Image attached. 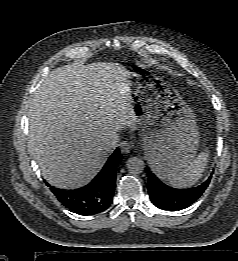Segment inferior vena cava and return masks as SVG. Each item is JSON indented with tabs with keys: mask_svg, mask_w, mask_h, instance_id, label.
<instances>
[{
	"mask_svg": "<svg viewBox=\"0 0 238 261\" xmlns=\"http://www.w3.org/2000/svg\"><path fill=\"white\" fill-rule=\"evenodd\" d=\"M119 138L116 133L109 134L105 139V149L112 152L118 146Z\"/></svg>",
	"mask_w": 238,
	"mask_h": 261,
	"instance_id": "602c4592",
	"label": "inferior vena cava"
}]
</instances>
